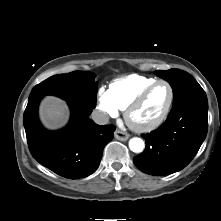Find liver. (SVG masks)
<instances>
[{
    "instance_id": "6515ba94",
    "label": "liver",
    "mask_w": 221,
    "mask_h": 221,
    "mask_svg": "<svg viewBox=\"0 0 221 221\" xmlns=\"http://www.w3.org/2000/svg\"><path fill=\"white\" fill-rule=\"evenodd\" d=\"M69 115L66 102L58 97L47 96L40 104V120L47 129L56 130L65 126L69 120Z\"/></svg>"
}]
</instances>
